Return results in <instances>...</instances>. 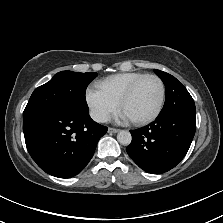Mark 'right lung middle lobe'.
<instances>
[{
    "label": "right lung middle lobe",
    "mask_w": 223,
    "mask_h": 223,
    "mask_svg": "<svg viewBox=\"0 0 223 223\" xmlns=\"http://www.w3.org/2000/svg\"><path fill=\"white\" fill-rule=\"evenodd\" d=\"M95 72L79 73L62 71L39 86L32 93L23 116L51 110L75 111L88 114L85 91L97 77Z\"/></svg>",
    "instance_id": "right-lung-middle-lobe-1"
}]
</instances>
